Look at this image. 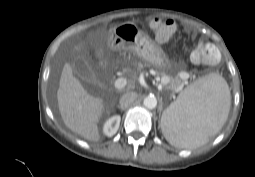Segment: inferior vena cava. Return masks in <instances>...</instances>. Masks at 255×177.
Listing matches in <instances>:
<instances>
[{"instance_id":"1","label":"inferior vena cava","mask_w":255,"mask_h":177,"mask_svg":"<svg viewBox=\"0 0 255 177\" xmlns=\"http://www.w3.org/2000/svg\"><path fill=\"white\" fill-rule=\"evenodd\" d=\"M137 99V93L135 92H127L124 95H122V97L120 98V106L122 108H127L130 105H132L135 100Z\"/></svg>"}]
</instances>
